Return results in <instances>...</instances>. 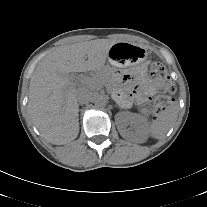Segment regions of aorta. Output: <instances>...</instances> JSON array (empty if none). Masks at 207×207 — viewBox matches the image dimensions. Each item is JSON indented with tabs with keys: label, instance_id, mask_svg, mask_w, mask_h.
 <instances>
[{
	"label": "aorta",
	"instance_id": "762f6f07",
	"mask_svg": "<svg viewBox=\"0 0 207 207\" xmlns=\"http://www.w3.org/2000/svg\"><path fill=\"white\" fill-rule=\"evenodd\" d=\"M106 103H107V101H106V99L104 97H98L95 100V105L97 107H100V108L105 107L106 106Z\"/></svg>",
	"mask_w": 207,
	"mask_h": 207
}]
</instances>
